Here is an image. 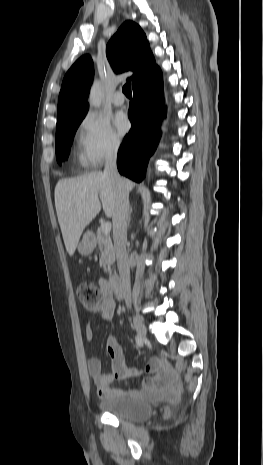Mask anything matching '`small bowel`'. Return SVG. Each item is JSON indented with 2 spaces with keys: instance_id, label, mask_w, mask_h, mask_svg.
<instances>
[{
  "instance_id": "small-bowel-1",
  "label": "small bowel",
  "mask_w": 263,
  "mask_h": 465,
  "mask_svg": "<svg viewBox=\"0 0 263 465\" xmlns=\"http://www.w3.org/2000/svg\"><path fill=\"white\" fill-rule=\"evenodd\" d=\"M100 283L105 288V296L100 304L91 308V312L101 320H109L114 314L116 303L108 282L101 280ZM85 335L88 341L94 339L93 322L87 324ZM106 351L112 366L110 373L103 371L102 363L96 357H90L87 362L90 378L100 398L134 394L150 400H161L164 398L175 399L178 396L180 387L177 377L168 363L159 358H152L146 364L144 371L149 376L144 379L141 389L113 388L112 384L115 380L136 376L140 371L126 366L122 348L114 338L111 337L107 340Z\"/></svg>"
}]
</instances>
